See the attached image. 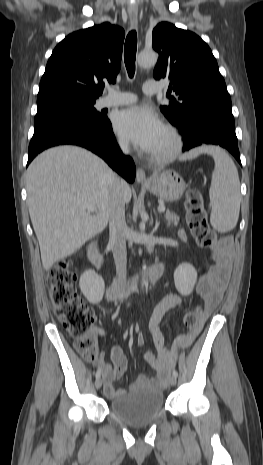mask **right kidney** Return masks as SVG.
<instances>
[{"label": "right kidney", "instance_id": "ca27d5eb", "mask_svg": "<svg viewBox=\"0 0 263 465\" xmlns=\"http://www.w3.org/2000/svg\"><path fill=\"white\" fill-rule=\"evenodd\" d=\"M79 286L86 299L92 303H99L104 295V280L93 270L86 271L80 278Z\"/></svg>", "mask_w": 263, "mask_h": 465}]
</instances>
